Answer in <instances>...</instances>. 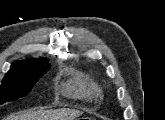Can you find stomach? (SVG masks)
I'll use <instances>...</instances> for the list:
<instances>
[{"mask_svg":"<svg viewBox=\"0 0 165 120\" xmlns=\"http://www.w3.org/2000/svg\"><path fill=\"white\" fill-rule=\"evenodd\" d=\"M81 119H89V120H91V118H90V117H86V118H81Z\"/></svg>","mask_w":165,"mask_h":120,"instance_id":"obj_1","label":"stomach"}]
</instances>
